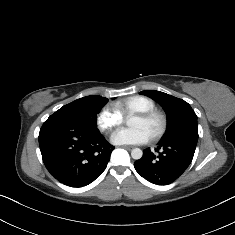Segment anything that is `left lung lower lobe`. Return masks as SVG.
<instances>
[{
    "label": "left lung lower lobe",
    "instance_id": "left-lung-lower-lobe-1",
    "mask_svg": "<svg viewBox=\"0 0 235 235\" xmlns=\"http://www.w3.org/2000/svg\"><path fill=\"white\" fill-rule=\"evenodd\" d=\"M196 145L186 141H160L155 155L150 149L143 151L141 159L134 162L139 175L154 184H169L190 165Z\"/></svg>",
    "mask_w": 235,
    "mask_h": 235
}]
</instances>
